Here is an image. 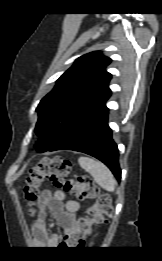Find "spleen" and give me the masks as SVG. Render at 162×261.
I'll use <instances>...</instances> for the list:
<instances>
[{
  "label": "spleen",
  "instance_id": "spleen-1",
  "mask_svg": "<svg viewBox=\"0 0 162 261\" xmlns=\"http://www.w3.org/2000/svg\"><path fill=\"white\" fill-rule=\"evenodd\" d=\"M78 162L81 168L91 174L99 186L109 192L115 190L116 180L111 171L102 162L85 156H81Z\"/></svg>",
  "mask_w": 162,
  "mask_h": 261
}]
</instances>
